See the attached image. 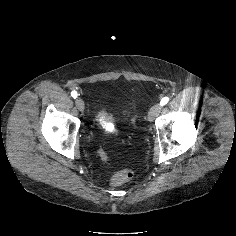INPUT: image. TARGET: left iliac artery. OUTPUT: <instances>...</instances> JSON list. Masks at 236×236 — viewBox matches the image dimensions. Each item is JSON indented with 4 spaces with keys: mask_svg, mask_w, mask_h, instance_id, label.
I'll return each mask as SVG.
<instances>
[{
    "mask_svg": "<svg viewBox=\"0 0 236 236\" xmlns=\"http://www.w3.org/2000/svg\"><path fill=\"white\" fill-rule=\"evenodd\" d=\"M168 101H169V98H168V97H164V98L161 100V102H160L161 106L166 105V104L168 103Z\"/></svg>",
    "mask_w": 236,
    "mask_h": 236,
    "instance_id": "obj_1",
    "label": "left iliac artery"
}]
</instances>
